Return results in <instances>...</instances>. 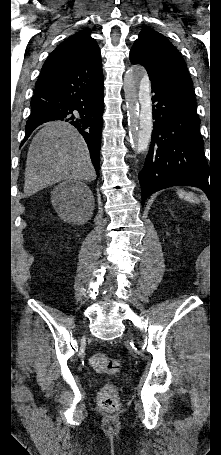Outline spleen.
<instances>
[{
  "instance_id": "spleen-1",
  "label": "spleen",
  "mask_w": 221,
  "mask_h": 455,
  "mask_svg": "<svg viewBox=\"0 0 221 455\" xmlns=\"http://www.w3.org/2000/svg\"><path fill=\"white\" fill-rule=\"evenodd\" d=\"M178 196L191 203H199V199L192 192H186L184 190H179L177 192Z\"/></svg>"
}]
</instances>
